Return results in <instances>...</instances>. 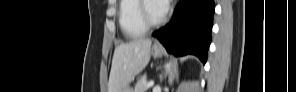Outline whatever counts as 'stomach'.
<instances>
[{
  "mask_svg": "<svg viewBox=\"0 0 296 92\" xmlns=\"http://www.w3.org/2000/svg\"><path fill=\"white\" fill-rule=\"evenodd\" d=\"M153 57L155 58H159L162 56V50L161 49H156V48H152V51H151ZM122 92H134L133 89L130 87V86H126Z\"/></svg>",
  "mask_w": 296,
  "mask_h": 92,
  "instance_id": "obj_1",
  "label": "stomach"
}]
</instances>
